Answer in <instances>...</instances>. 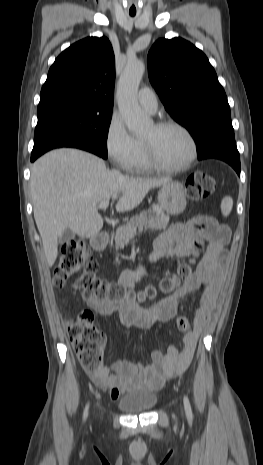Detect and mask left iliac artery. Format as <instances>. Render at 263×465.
<instances>
[{
	"instance_id": "obj_1",
	"label": "left iliac artery",
	"mask_w": 263,
	"mask_h": 465,
	"mask_svg": "<svg viewBox=\"0 0 263 465\" xmlns=\"http://www.w3.org/2000/svg\"><path fill=\"white\" fill-rule=\"evenodd\" d=\"M184 408H185V412H186L189 422H192V419H193L192 409H191V405H190V402L187 396H184Z\"/></svg>"
}]
</instances>
